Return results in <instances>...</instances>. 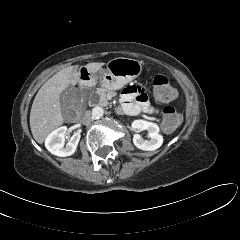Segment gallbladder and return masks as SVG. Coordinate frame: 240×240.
Returning <instances> with one entry per match:
<instances>
[{
  "mask_svg": "<svg viewBox=\"0 0 240 240\" xmlns=\"http://www.w3.org/2000/svg\"><path fill=\"white\" fill-rule=\"evenodd\" d=\"M78 96V90L70 85L63 93L60 94L62 110L65 112L71 109L74 106Z\"/></svg>",
  "mask_w": 240,
  "mask_h": 240,
  "instance_id": "bac80fb5",
  "label": "gallbladder"
}]
</instances>
